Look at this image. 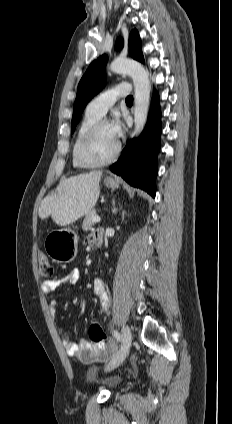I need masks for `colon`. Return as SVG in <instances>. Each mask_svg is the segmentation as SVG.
Instances as JSON below:
<instances>
[{"label": "colon", "mask_w": 232, "mask_h": 424, "mask_svg": "<svg viewBox=\"0 0 232 424\" xmlns=\"http://www.w3.org/2000/svg\"><path fill=\"white\" fill-rule=\"evenodd\" d=\"M38 262L40 274L45 277L52 276L54 272L53 266L43 251L38 252ZM88 335L92 343L103 345L109 342L108 336L97 322L90 325ZM111 345L113 346L114 344L112 343Z\"/></svg>", "instance_id": "obj_1"}]
</instances>
